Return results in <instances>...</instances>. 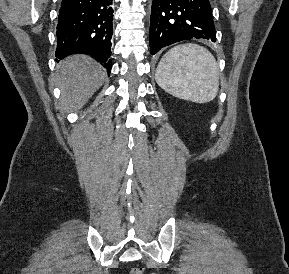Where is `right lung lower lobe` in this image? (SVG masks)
<instances>
[{
	"label": "right lung lower lobe",
	"instance_id": "obj_1",
	"mask_svg": "<svg viewBox=\"0 0 289 274\" xmlns=\"http://www.w3.org/2000/svg\"><path fill=\"white\" fill-rule=\"evenodd\" d=\"M113 0H62L57 24L56 57L80 53L111 71Z\"/></svg>",
	"mask_w": 289,
	"mask_h": 274
}]
</instances>
